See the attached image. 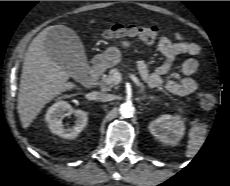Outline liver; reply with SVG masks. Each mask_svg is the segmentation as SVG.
I'll use <instances>...</instances> for the list:
<instances>
[{
  "mask_svg": "<svg viewBox=\"0 0 230 186\" xmlns=\"http://www.w3.org/2000/svg\"><path fill=\"white\" fill-rule=\"evenodd\" d=\"M63 26V25H56ZM56 26L41 31L26 52L20 79L17 110L24 129H27L42 108L62 92L76 86L67 82L70 74L47 54L46 34Z\"/></svg>",
  "mask_w": 230,
  "mask_h": 186,
  "instance_id": "liver-1",
  "label": "liver"
}]
</instances>
